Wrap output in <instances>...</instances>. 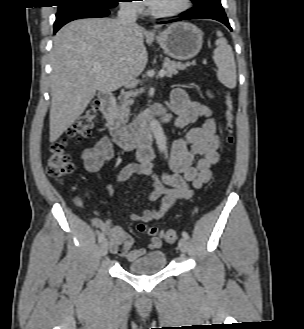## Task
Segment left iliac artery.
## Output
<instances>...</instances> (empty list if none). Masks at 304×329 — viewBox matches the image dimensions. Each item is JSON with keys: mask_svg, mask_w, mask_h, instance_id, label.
<instances>
[{"mask_svg": "<svg viewBox=\"0 0 304 329\" xmlns=\"http://www.w3.org/2000/svg\"><path fill=\"white\" fill-rule=\"evenodd\" d=\"M182 236H183V238H185V239H189V235H188V233H187L186 231H183V232H182Z\"/></svg>", "mask_w": 304, "mask_h": 329, "instance_id": "obj_1", "label": "left iliac artery"}]
</instances>
